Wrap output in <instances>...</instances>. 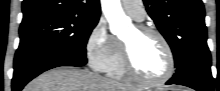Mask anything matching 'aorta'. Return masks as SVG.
<instances>
[{
    "label": "aorta",
    "instance_id": "aorta-1",
    "mask_svg": "<svg viewBox=\"0 0 220 91\" xmlns=\"http://www.w3.org/2000/svg\"><path fill=\"white\" fill-rule=\"evenodd\" d=\"M102 10L110 24V31L120 35L130 24L129 18L124 14L120 0H101Z\"/></svg>",
    "mask_w": 220,
    "mask_h": 91
}]
</instances>
